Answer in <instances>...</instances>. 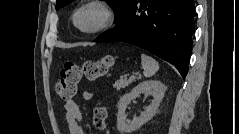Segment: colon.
Here are the masks:
<instances>
[{
    "label": "colon",
    "mask_w": 239,
    "mask_h": 134,
    "mask_svg": "<svg viewBox=\"0 0 239 134\" xmlns=\"http://www.w3.org/2000/svg\"><path fill=\"white\" fill-rule=\"evenodd\" d=\"M113 57L106 55L98 61H86L83 64L67 62L60 70L56 83L57 94L64 100L73 98L78 90L82 78L95 81L104 77L113 65ZM108 111L105 107H97L94 110L93 122L97 129L106 128Z\"/></svg>",
    "instance_id": "colon-1"
}]
</instances>
